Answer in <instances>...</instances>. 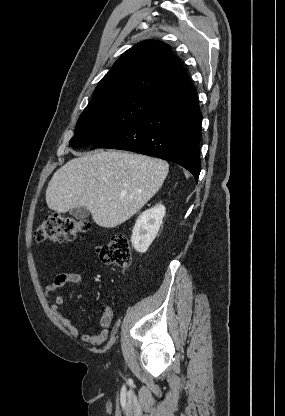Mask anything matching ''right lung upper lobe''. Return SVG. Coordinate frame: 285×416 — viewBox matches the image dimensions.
<instances>
[{"label":"right lung upper lobe","mask_w":285,"mask_h":416,"mask_svg":"<svg viewBox=\"0 0 285 416\" xmlns=\"http://www.w3.org/2000/svg\"><path fill=\"white\" fill-rule=\"evenodd\" d=\"M197 95L169 45L144 41L126 52L98 83L88 106L138 96L165 107Z\"/></svg>","instance_id":"1"}]
</instances>
